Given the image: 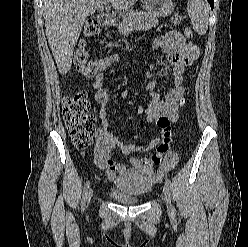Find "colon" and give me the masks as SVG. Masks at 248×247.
I'll return each instance as SVG.
<instances>
[{
    "mask_svg": "<svg viewBox=\"0 0 248 247\" xmlns=\"http://www.w3.org/2000/svg\"><path fill=\"white\" fill-rule=\"evenodd\" d=\"M100 24L96 20H89L84 26L85 38H93L99 34ZM187 37H192L190 28L184 30ZM73 62L86 78L94 77L98 70L97 60H88L85 41H81L74 52ZM63 117L74 146L80 149L88 148L92 144L95 132V118L90 112V106L85 93L78 92L63 102Z\"/></svg>",
    "mask_w": 248,
    "mask_h": 247,
    "instance_id": "1",
    "label": "colon"
}]
</instances>
